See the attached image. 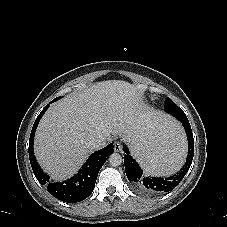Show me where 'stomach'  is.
<instances>
[{
    "instance_id": "obj_1",
    "label": "stomach",
    "mask_w": 227,
    "mask_h": 227,
    "mask_svg": "<svg viewBox=\"0 0 227 227\" xmlns=\"http://www.w3.org/2000/svg\"><path fill=\"white\" fill-rule=\"evenodd\" d=\"M131 145H132V142H131ZM137 158V157H136ZM137 160L140 162V163H142V161L141 160H139L138 158H137Z\"/></svg>"
}]
</instances>
